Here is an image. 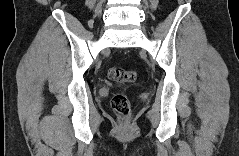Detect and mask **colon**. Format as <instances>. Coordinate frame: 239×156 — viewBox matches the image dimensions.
<instances>
[{
	"label": "colon",
	"mask_w": 239,
	"mask_h": 156,
	"mask_svg": "<svg viewBox=\"0 0 239 156\" xmlns=\"http://www.w3.org/2000/svg\"><path fill=\"white\" fill-rule=\"evenodd\" d=\"M108 76L110 79L117 82H133L136 80V72L126 70L122 67H112ZM111 106L116 114L121 117H126L130 111V104L127 97L122 93H117L111 100Z\"/></svg>",
	"instance_id": "5ec220e1"
}]
</instances>
